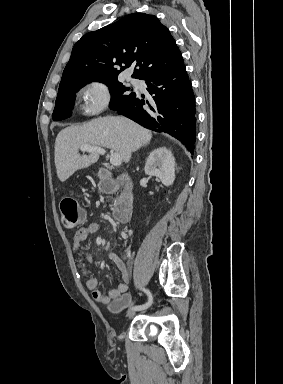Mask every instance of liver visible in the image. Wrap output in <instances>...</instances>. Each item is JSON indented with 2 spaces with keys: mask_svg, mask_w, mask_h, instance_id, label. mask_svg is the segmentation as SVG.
<instances>
[{
  "mask_svg": "<svg viewBox=\"0 0 283 384\" xmlns=\"http://www.w3.org/2000/svg\"><path fill=\"white\" fill-rule=\"evenodd\" d=\"M151 138V130H145L123 116L97 118L84 126L64 128L55 140L57 176L60 182H66L76 170L88 168L99 160L97 152L80 156L78 150L82 144H90L93 148H110L120 154L123 162H129L132 152L149 144Z\"/></svg>",
  "mask_w": 283,
  "mask_h": 384,
  "instance_id": "obj_1",
  "label": "liver"
}]
</instances>
